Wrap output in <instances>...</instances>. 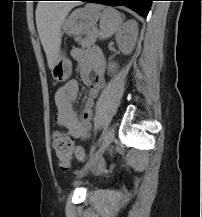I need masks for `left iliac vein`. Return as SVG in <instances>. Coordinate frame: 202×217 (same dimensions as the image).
Listing matches in <instances>:
<instances>
[{
    "instance_id": "obj_1",
    "label": "left iliac vein",
    "mask_w": 202,
    "mask_h": 217,
    "mask_svg": "<svg viewBox=\"0 0 202 217\" xmlns=\"http://www.w3.org/2000/svg\"><path fill=\"white\" fill-rule=\"evenodd\" d=\"M113 139H114V128L109 127L108 129L105 130V136L102 140L99 149L90 155L88 162L80 170L78 174L79 178L83 177L90 169H92L98 163L99 159L102 157L103 153L112 143Z\"/></svg>"
}]
</instances>
